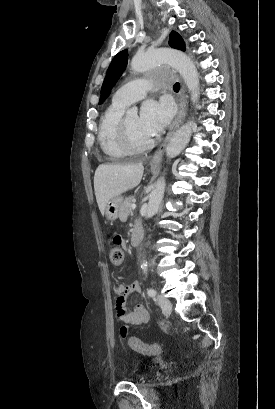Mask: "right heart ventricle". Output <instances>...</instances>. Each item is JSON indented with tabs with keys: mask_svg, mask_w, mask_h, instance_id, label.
Listing matches in <instances>:
<instances>
[{
	"mask_svg": "<svg viewBox=\"0 0 275 409\" xmlns=\"http://www.w3.org/2000/svg\"><path fill=\"white\" fill-rule=\"evenodd\" d=\"M125 108L112 103L104 112L98 129V143L106 157H124L128 154L120 137V122Z\"/></svg>",
	"mask_w": 275,
	"mask_h": 409,
	"instance_id": "1",
	"label": "right heart ventricle"
}]
</instances>
